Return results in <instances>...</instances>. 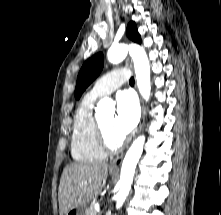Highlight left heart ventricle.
<instances>
[{
  "label": "left heart ventricle",
  "mask_w": 221,
  "mask_h": 215,
  "mask_svg": "<svg viewBox=\"0 0 221 215\" xmlns=\"http://www.w3.org/2000/svg\"><path fill=\"white\" fill-rule=\"evenodd\" d=\"M113 119V115L110 114L100 118L99 120L109 138L113 141H117L120 137H118L113 131Z\"/></svg>",
  "instance_id": "left-heart-ventricle-1"
}]
</instances>
